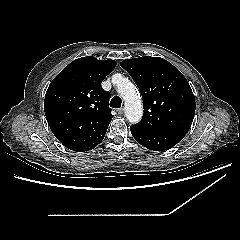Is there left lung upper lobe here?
Returning a JSON list of instances; mask_svg holds the SVG:
<instances>
[{"label":"left lung upper lobe","mask_w":240,"mask_h":240,"mask_svg":"<svg viewBox=\"0 0 240 240\" xmlns=\"http://www.w3.org/2000/svg\"><path fill=\"white\" fill-rule=\"evenodd\" d=\"M120 65L131 75L143 99V118L133 127L147 132L189 131L195 98L178 69L163 58L151 56L126 59Z\"/></svg>","instance_id":"obj_1"}]
</instances>
